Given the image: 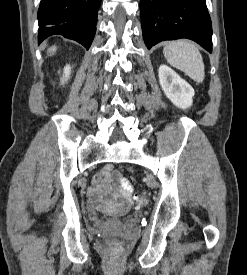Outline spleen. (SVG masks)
<instances>
[{
	"label": "spleen",
	"instance_id": "spleen-1",
	"mask_svg": "<svg viewBox=\"0 0 247 275\" xmlns=\"http://www.w3.org/2000/svg\"><path fill=\"white\" fill-rule=\"evenodd\" d=\"M163 54L167 62L183 71L196 82H203L205 67L198 47L187 40L172 41L165 45Z\"/></svg>",
	"mask_w": 247,
	"mask_h": 275
}]
</instances>
